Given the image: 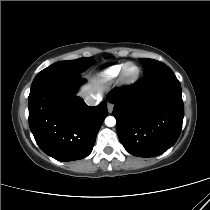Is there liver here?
I'll return each instance as SVG.
<instances>
[{
  "label": "liver",
  "mask_w": 210,
  "mask_h": 210,
  "mask_svg": "<svg viewBox=\"0 0 210 210\" xmlns=\"http://www.w3.org/2000/svg\"><path fill=\"white\" fill-rule=\"evenodd\" d=\"M101 88V80L99 78H93L89 83L82 87L79 95L83 98L91 95L92 93L99 91Z\"/></svg>",
  "instance_id": "liver-1"
}]
</instances>
